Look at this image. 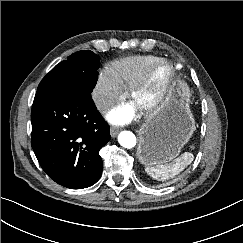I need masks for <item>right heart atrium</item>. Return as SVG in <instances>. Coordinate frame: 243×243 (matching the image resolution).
Wrapping results in <instances>:
<instances>
[{"label": "right heart atrium", "instance_id": "obj_1", "mask_svg": "<svg viewBox=\"0 0 243 243\" xmlns=\"http://www.w3.org/2000/svg\"><path fill=\"white\" fill-rule=\"evenodd\" d=\"M123 95L124 90L115 83L106 70L99 73L92 91V99L100 112L110 109L122 99Z\"/></svg>", "mask_w": 243, "mask_h": 243}]
</instances>
